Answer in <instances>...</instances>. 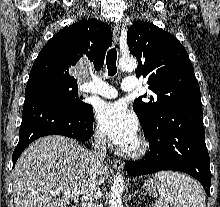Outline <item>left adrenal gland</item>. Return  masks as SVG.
Segmentation results:
<instances>
[{
    "label": "left adrenal gland",
    "instance_id": "left-adrenal-gland-1",
    "mask_svg": "<svg viewBox=\"0 0 220 207\" xmlns=\"http://www.w3.org/2000/svg\"><path fill=\"white\" fill-rule=\"evenodd\" d=\"M138 192H139V191H135L133 196H136V194H137Z\"/></svg>",
    "mask_w": 220,
    "mask_h": 207
}]
</instances>
